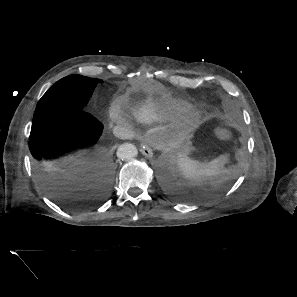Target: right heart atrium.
<instances>
[{
    "instance_id": "obj_1",
    "label": "right heart atrium",
    "mask_w": 297,
    "mask_h": 297,
    "mask_svg": "<svg viewBox=\"0 0 297 297\" xmlns=\"http://www.w3.org/2000/svg\"><path fill=\"white\" fill-rule=\"evenodd\" d=\"M114 115H115L116 118H118V116H119L118 113H115Z\"/></svg>"
}]
</instances>
